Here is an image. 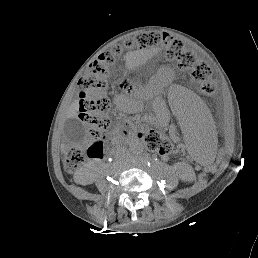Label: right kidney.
Listing matches in <instances>:
<instances>
[{
	"label": "right kidney",
	"mask_w": 258,
	"mask_h": 258,
	"mask_svg": "<svg viewBox=\"0 0 258 258\" xmlns=\"http://www.w3.org/2000/svg\"><path fill=\"white\" fill-rule=\"evenodd\" d=\"M75 182L82 185L91 184L95 180V174L88 167L80 169L74 176Z\"/></svg>",
	"instance_id": "right-kidney-1"
}]
</instances>
